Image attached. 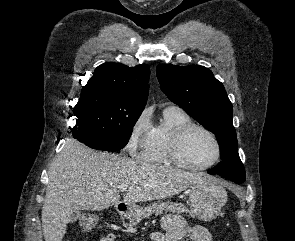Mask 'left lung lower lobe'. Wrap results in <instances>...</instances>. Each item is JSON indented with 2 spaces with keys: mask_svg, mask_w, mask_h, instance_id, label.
Instances as JSON below:
<instances>
[{
  "mask_svg": "<svg viewBox=\"0 0 295 241\" xmlns=\"http://www.w3.org/2000/svg\"><path fill=\"white\" fill-rule=\"evenodd\" d=\"M209 174H213L211 170L208 171ZM237 184H241V182H235Z\"/></svg>",
  "mask_w": 295,
  "mask_h": 241,
  "instance_id": "obj_1",
  "label": "left lung lower lobe"
}]
</instances>
